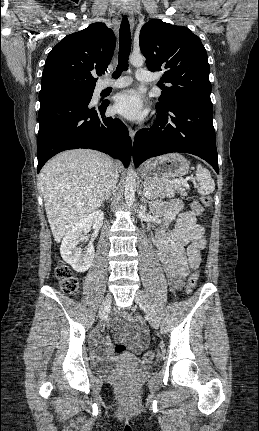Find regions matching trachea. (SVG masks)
Listing matches in <instances>:
<instances>
[{
  "label": "trachea",
  "mask_w": 259,
  "mask_h": 431,
  "mask_svg": "<svg viewBox=\"0 0 259 431\" xmlns=\"http://www.w3.org/2000/svg\"><path fill=\"white\" fill-rule=\"evenodd\" d=\"M131 51V33L128 18L123 17L119 31V58L116 71L113 73V78H118L122 71L128 69V57Z\"/></svg>",
  "instance_id": "trachea-1"
}]
</instances>
